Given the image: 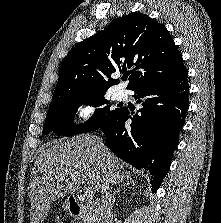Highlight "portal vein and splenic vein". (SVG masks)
I'll return each instance as SVG.
<instances>
[{
    "instance_id": "portal-vein-and-splenic-vein-1",
    "label": "portal vein and splenic vein",
    "mask_w": 221,
    "mask_h": 223,
    "mask_svg": "<svg viewBox=\"0 0 221 223\" xmlns=\"http://www.w3.org/2000/svg\"><path fill=\"white\" fill-rule=\"evenodd\" d=\"M70 179H71L72 181H76V182L80 183V180H79V178H77L76 175H71V176H70ZM84 196H85L86 198H88V199H92L93 196H94V191H93V189H92V188H89V187L86 188V189L84 190Z\"/></svg>"
}]
</instances>
